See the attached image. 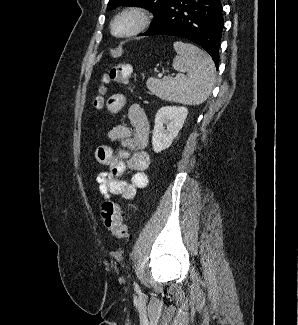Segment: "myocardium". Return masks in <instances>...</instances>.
<instances>
[{"mask_svg": "<svg viewBox=\"0 0 298 325\" xmlns=\"http://www.w3.org/2000/svg\"><path fill=\"white\" fill-rule=\"evenodd\" d=\"M129 24L128 30H121V27L125 24ZM145 26L144 17L137 11H127L119 15L112 25L113 36L119 39H131L138 35Z\"/></svg>", "mask_w": 298, "mask_h": 325, "instance_id": "myocardium-1", "label": "myocardium"}]
</instances>
